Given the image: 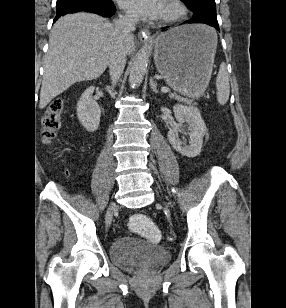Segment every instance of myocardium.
Returning a JSON list of instances; mask_svg holds the SVG:
<instances>
[{
  "label": "myocardium",
  "instance_id": "myocardium-1",
  "mask_svg": "<svg viewBox=\"0 0 286 308\" xmlns=\"http://www.w3.org/2000/svg\"><path fill=\"white\" fill-rule=\"evenodd\" d=\"M163 4L168 7L170 12L161 16L162 23H175L186 15L187 9L181 0H165Z\"/></svg>",
  "mask_w": 286,
  "mask_h": 308
}]
</instances>
